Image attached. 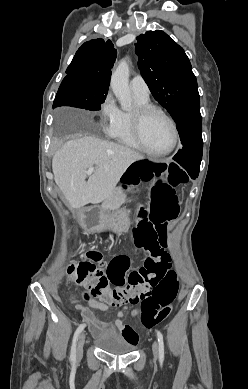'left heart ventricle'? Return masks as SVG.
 I'll return each instance as SVG.
<instances>
[{
    "instance_id": "left-heart-ventricle-1",
    "label": "left heart ventricle",
    "mask_w": 248,
    "mask_h": 389,
    "mask_svg": "<svg viewBox=\"0 0 248 389\" xmlns=\"http://www.w3.org/2000/svg\"><path fill=\"white\" fill-rule=\"evenodd\" d=\"M143 138L151 150L164 151L173 141L171 125L163 116L152 114L144 122Z\"/></svg>"
}]
</instances>
